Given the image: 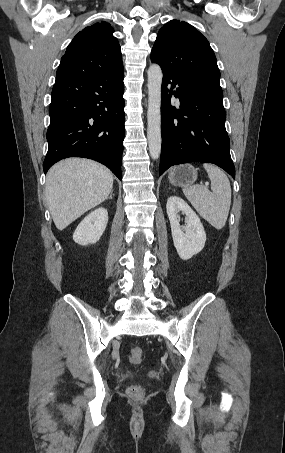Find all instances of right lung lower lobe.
Here are the masks:
<instances>
[{
  "instance_id": "obj_1",
  "label": "right lung lower lobe",
  "mask_w": 285,
  "mask_h": 453,
  "mask_svg": "<svg viewBox=\"0 0 285 453\" xmlns=\"http://www.w3.org/2000/svg\"><path fill=\"white\" fill-rule=\"evenodd\" d=\"M124 70L113 74L56 76L49 108L43 170L67 157L107 166L121 180L125 135Z\"/></svg>"
}]
</instances>
